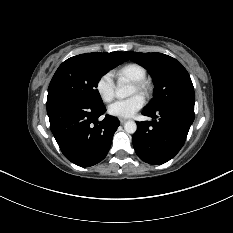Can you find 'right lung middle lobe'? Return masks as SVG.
<instances>
[{"label": "right lung middle lobe", "instance_id": "right-lung-middle-lobe-1", "mask_svg": "<svg viewBox=\"0 0 233 233\" xmlns=\"http://www.w3.org/2000/svg\"><path fill=\"white\" fill-rule=\"evenodd\" d=\"M124 59L85 53L64 61L55 72L47 101L71 99L92 107H102L97 84L104 74L118 66Z\"/></svg>", "mask_w": 233, "mask_h": 233}]
</instances>
